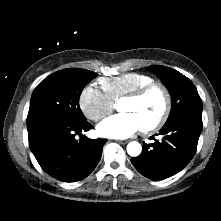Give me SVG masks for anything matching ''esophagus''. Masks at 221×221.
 Wrapping results in <instances>:
<instances>
[{
  "mask_svg": "<svg viewBox=\"0 0 221 221\" xmlns=\"http://www.w3.org/2000/svg\"><path fill=\"white\" fill-rule=\"evenodd\" d=\"M117 142L120 144H126L128 143V140H117Z\"/></svg>",
  "mask_w": 221,
  "mask_h": 221,
  "instance_id": "34e87169",
  "label": "esophagus"
}]
</instances>
